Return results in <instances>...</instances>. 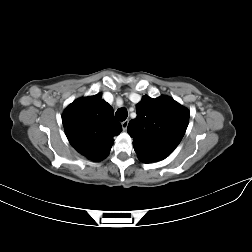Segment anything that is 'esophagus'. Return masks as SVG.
<instances>
[{
	"label": "esophagus",
	"instance_id": "obj_1",
	"mask_svg": "<svg viewBox=\"0 0 252 252\" xmlns=\"http://www.w3.org/2000/svg\"><path fill=\"white\" fill-rule=\"evenodd\" d=\"M128 123H129L128 120H125V121L122 122V128H123L124 131L127 129Z\"/></svg>",
	"mask_w": 252,
	"mask_h": 252
}]
</instances>
